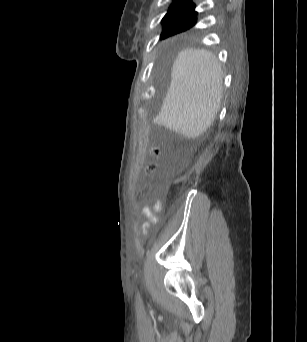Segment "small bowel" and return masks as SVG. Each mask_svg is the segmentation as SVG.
<instances>
[{"mask_svg":"<svg viewBox=\"0 0 307 342\" xmlns=\"http://www.w3.org/2000/svg\"><path fill=\"white\" fill-rule=\"evenodd\" d=\"M161 208H162V203L160 201H157L154 205V211L159 212ZM142 213L149 219V222H146L142 225V233L144 235H147L150 223H155L157 221V218L154 212L148 206H145L143 208Z\"/></svg>","mask_w":307,"mask_h":342,"instance_id":"1","label":"small bowel"}]
</instances>
